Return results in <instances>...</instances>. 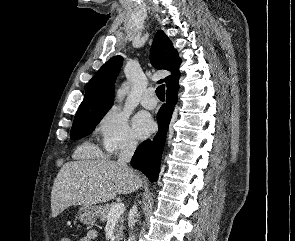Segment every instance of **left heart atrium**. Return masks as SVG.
I'll list each match as a JSON object with an SVG mask.
<instances>
[{"mask_svg":"<svg viewBox=\"0 0 295 241\" xmlns=\"http://www.w3.org/2000/svg\"><path fill=\"white\" fill-rule=\"evenodd\" d=\"M132 126L135 136L144 139L153 131L154 123L147 114L138 113L133 118Z\"/></svg>","mask_w":295,"mask_h":241,"instance_id":"1","label":"left heart atrium"}]
</instances>
